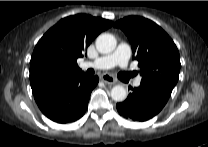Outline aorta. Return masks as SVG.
Segmentation results:
<instances>
[{
  "label": "aorta",
  "mask_w": 208,
  "mask_h": 147,
  "mask_svg": "<svg viewBox=\"0 0 208 147\" xmlns=\"http://www.w3.org/2000/svg\"><path fill=\"white\" fill-rule=\"evenodd\" d=\"M96 48L100 53L107 54L115 50L116 38L109 33L100 34L95 42ZM126 89L121 85H116L111 89V98L116 102H122L126 99Z\"/></svg>",
  "instance_id": "aorta-1"
}]
</instances>
